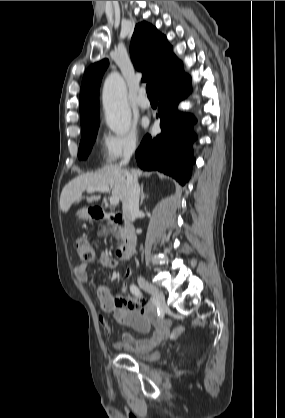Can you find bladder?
I'll return each mask as SVG.
<instances>
[{"instance_id":"obj_1","label":"bladder","mask_w":285,"mask_h":418,"mask_svg":"<svg viewBox=\"0 0 285 418\" xmlns=\"http://www.w3.org/2000/svg\"><path fill=\"white\" fill-rule=\"evenodd\" d=\"M129 356L139 361L149 362L160 357V353L153 350L130 351Z\"/></svg>"}]
</instances>
